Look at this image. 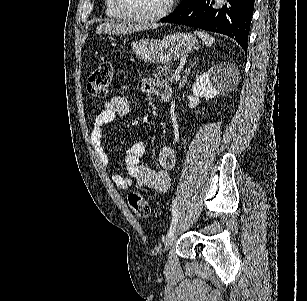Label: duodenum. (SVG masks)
I'll return each mask as SVG.
<instances>
[{
  "instance_id": "410a0bca",
  "label": "duodenum",
  "mask_w": 307,
  "mask_h": 301,
  "mask_svg": "<svg viewBox=\"0 0 307 301\" xmlns=\"http://www.w3.org/2000/svg\"><path fill=\"white\" fill-rule=\"evenodd\" d=\"M162 99L164 100V101H169V99H170V94L168 93V94H165L163 97H162Z\"/></svg>"
}]
</instances>
